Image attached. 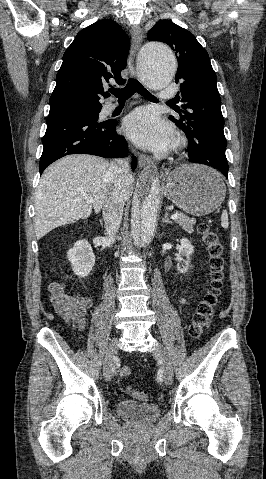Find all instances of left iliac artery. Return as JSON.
Instances as JSON below:
<instances>
[{
  "label": "left iliac artery",
  "mask_w": 266,
  "mask_h": 479,
  "mask_svg": "<svg viewBox=\"0 0 266 479\" xmlns=\"http://www.w3.org/2000/svg\"><path fill=\"white\" fill-rule=\"evenodd\" d=\"M160 366H158L157 370H156V376H157V379L159 381H162L164 379V376H163V366H161L162 364L160 363L159 364Z\"/></svg>",
  "instance_id": "1"
}]
</instances>
